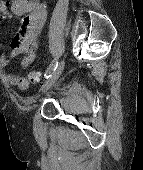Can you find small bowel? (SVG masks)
Instances as JSON below:
<instances>
[{
	"instance_id": "small-bowel-1",
	"label": "small bowel",
	"mask_w": 143,
	"mask_h": 170,
	"mask_svg": "<svg viewBox=\"0 0 143 170\" xmlns=\"http://www.w3.org/2000/svg\"><path fill=\"white\" fill-rule=\"evenodd\" d=\"M0 14L3 20L13 16L22 17L21 24L11 41V52L7 57L0 54V69L5 68L11 59L22 55L21 67H29L36 59L37 37L40 34L46 18L47 6L38 0H6L0 1ZM6 81L20 89L28 87L26 78L14 74H5Z\"/></svg>"
}]
</instances>
